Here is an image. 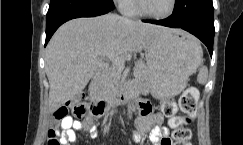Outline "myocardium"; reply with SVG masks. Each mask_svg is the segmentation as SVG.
<instances>
[{
  "mask_svg": "<svg viewBox=\"0 0 243 145\" xmlns=\"http://www.w3.org/2000/svg\"><path fill=\"white\" fill-rule=\"evenodd\" d=\"M134 4H135V8H136L137 12L140 15H143L148 18L156 19V20H163V19L169 18L174 13V11L177 7V0H171V6H170L169 10L164 14H153V13L146 11L144 9V7L142 6L141 0H134Z\"/></svg>",
  "mask_w": 243,
  "mask_h": 145,
  "instance_id": "myocardium-1",
  "label": "myocardium"
}]
</instances>
